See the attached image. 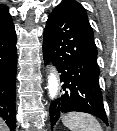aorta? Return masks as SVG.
<instances>
[{
  "label": "aorta",
  "mask_w": 117,
  "mask_h": 131,
  "mask_svg": "<svg viewBox=\"0 0 117 131\" xmlns=\"http://www.w3.org/2000/svg\"><path fill=\"white\" fill-rule=\"evenodd\" d=\"M48 94L51 99H56L59 91V81L54 71H51L47 77Z\"/></svg>",
  "instance_id": "aorta-1"
}]
</instances>
